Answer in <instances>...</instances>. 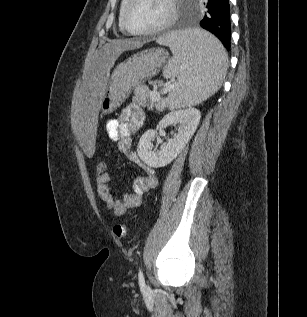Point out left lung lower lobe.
<instances>
[{
  "label": "left lung lower lobe",
  "instance_id": "left-lung-lower-lobe-1",
  "mask_svg": "<svg viewBox=\"0 0 307 317\" xmlns=\"http://www.w3.org/2000/svg\"><path fill=\"white\" fill-rule=\"evenodd\" d=\"M205 16L200 26L214 34L229 51L231 46V23L229 0H204Z\"/></svg>",
  "mask_w": 307,
  "mask_h": 317
}]
</instances>
